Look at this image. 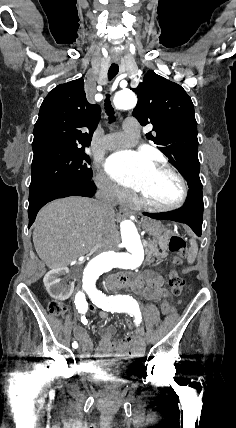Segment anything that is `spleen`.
<instances>
[{"mask_svg":"<svg viewBox=\"0 0 236 428\" xmlns=\"http://www.w3.org/2000/svg\"><path fill=\"white\" fill-rule=\"evenodd\" d=\"M197 254H198V244L196 240H190V250L187 258L188 264H193Z\"/></svg>","mask_w":236,"mask_h":428,"instance_id":"spleen-1","label":"spleen"}]
</instances>
